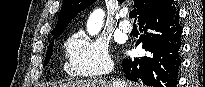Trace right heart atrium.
<instances>
[{"instance_id":"right-heart-atrium-1","label":"right heart atrium","mask_w":205,"mask_h":87,"mask_svg":"<svg viewBox=\"0 0 205 87\" xmlns=\"http://www.w3.org/2000/svg\"><path fill=\"white\" fill-rule=\"evenodd\" d=\"M65 71L75 77H99L113 68L108 44L84 32L74 33L65 44Z\"/></svg>"}]
</instances>
